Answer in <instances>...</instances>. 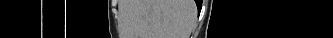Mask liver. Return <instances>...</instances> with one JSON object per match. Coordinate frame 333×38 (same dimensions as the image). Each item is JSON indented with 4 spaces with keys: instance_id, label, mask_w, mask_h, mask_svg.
Wrapping results in <instances>:
<instances>
[{
    "instance_id": "6515ba94",
    "label": "liver",
    "mask_w": 333,
    "mask_h": 38,
    "mask_svg": "<svg viewBox=\"0 0 333 38\" xmlns=\"http://www.w3.org/2000/svg\"><path fill=\"white\" fill-rule=\"evenodd\" d=\"M138 38H189L193 0H137Z\"/></svg>"
}]
</instances>
